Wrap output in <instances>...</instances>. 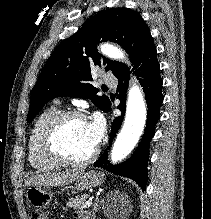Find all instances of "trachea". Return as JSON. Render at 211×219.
<instances>
[{
	"label": "trachea",
	"mask_w": 211,
	"mask_h": 219,
	"mask_svg": "<svg viewBox=\"0 0 211 219\" xmlns=\"http://www.w3.org/2000/svg\"><path fill=\"white\" fill-rule=\"evenodd\" d=\"M103 89H104V90H108V88H107V87H104Z\"/></svg>",
	"instance_id": "trachea-1"
}]
</instances>
